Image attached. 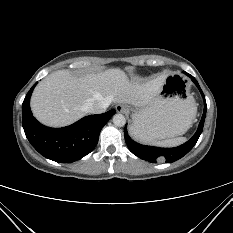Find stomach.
I'll list each match as a JSON object with an SVG mask.
<instances>
[{
    "instance_id": "1",
    "label": "stomach",
    "mask_w": 233,
    "mask_h": 233,
    "mask_svg": "<svg viewBox=\"0 0 233 233\" xmlns=\"http://www.w3.org/2000/svg\"><path fill=\"white\" fill-rule=\"evenodd\" d=\"M131 111V127L138 140L154 143L184 134L196 116V105L189 93L187 78L172 72L148 105Z\"/></svg>"
}]
</instances>
